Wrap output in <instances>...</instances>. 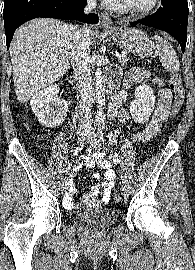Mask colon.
I'll list each match as a JSON object with an SVG mask.
<instances>
[{"instance_id":"1","label":"colon","mask_w":195,"mask_h":270,"mask_svg":"<svg viewBox=\"0 0 195 270\" xmlns=\"http://www.w3.org/2000/svg\"><path fill=\"white\" fill-rule=\"evenodd\" d=\"M169 87L174 94V102L171 109V117L176 118L181 112L185 100L182 79L179 74H172L170 76ZM113 198L115 201H119L120 194L118 192H115L113 194Z\"/></svg>"}]
</instances>
